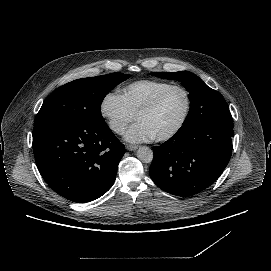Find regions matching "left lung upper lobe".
<instances>
[{
    "mask_svg": "<svg viewBox=\"0 0 271 271\" xmlns=\"http://www.w3.org/2000/svg\"><path fill=\"white\" fill-rule=\"evenodd\" d=\"M163 79H175L189 91L190 110L180 129L211 119L232 120L228 106L220 93L208 87L198 76L188 71L153 72Z\"/></svg>",
    "mask_w": 271,
    "mask_h": 271,
    "instance_id": "left-lung-upper-lobe-1",
    "label": "left lung upper lobe"
}]
</instances>
